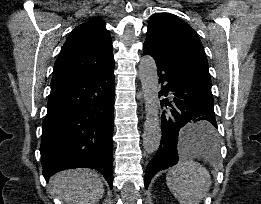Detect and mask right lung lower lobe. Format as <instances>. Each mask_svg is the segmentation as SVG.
<instances>
[{"label":"right lung lower lobe","mask_w":261,"mask_h":204,"mask_svg":"<svg viewBox=\"0 0 261 204\" xmlns=\"http://www.w3.org/2000/svg\"><path fill=\"white\" fill-rule=\"evenodd\" d=\"M114 64L91 75L51 84L43 122L41 162L57 171L94 168L113 183Z\"/></svg>","instance_id":"right-lung-lower-lobe-1"}]
</instances>
